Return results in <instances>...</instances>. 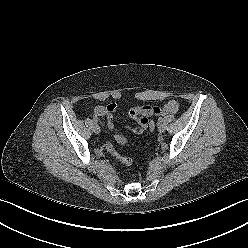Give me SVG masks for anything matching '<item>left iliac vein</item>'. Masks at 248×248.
Returning a JSON list of instances; mask_svg holds the SVG:
<instances>
[{"instance_id": "obj_1", "label": "left iliac vein", "mask_w": 248, "mask_h": 248, "mask_svg": "<svg viewBox=\"0 0 248 248\" xmlns=\"http://www.w3.org/2000/svg\"><path fill=\"white\" fill-rule=\"evenodd\" d=\"M165 130H166L165 124L159 123V124H158V131H159L160 133H162V132H164Z\"/></svg>"}]
</instances>
